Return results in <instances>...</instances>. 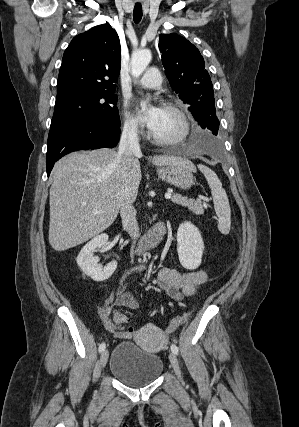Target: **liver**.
I'll list each match as a JSON object with an SVG mask.
<instances>
[{"label": "liver", "instance_id": "6515ba94", "mask_svg": "<svg viewBox=\"0 0 299 427\" xmlns=\"http://www.w3.org/2000/svg\"><path fill=\"white\" fill-rule=\"evenodd\" d=\"M136 155L127 158L101 148L72 152L55 163L51 172L49 243L56 251L80 245L107 229L124 200H136L142 174ZM157 166L196 171L189 160L160 155Z\"/></svg>", "mask_w": 299, "mask_h": 427}]
</instances>
